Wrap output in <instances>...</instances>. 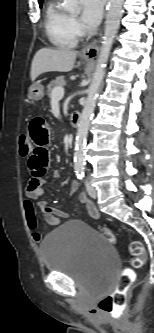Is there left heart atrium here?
I'll list each match as a JSON object with an SVG mask.
<instances>
[{
    "mask_svg": "<svg viewBox=\"0 0 154 333\" xmlns=\"http://www.w3.org/2000/svg\"><path fill=\"white\" fill-rule=\"evenodd\" d=\"M105 0H82V21L88 27L99 24L104 10Z\"/></svg>",
    "mask_w": 154,
    "mask_h": 333,
    "instance_id": "39dd6f15",
    "label": "left heart atrium"
}]
</instances>
